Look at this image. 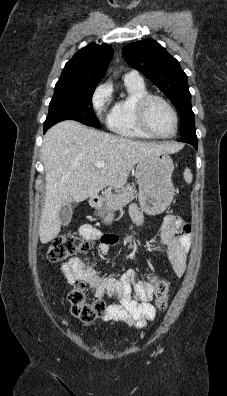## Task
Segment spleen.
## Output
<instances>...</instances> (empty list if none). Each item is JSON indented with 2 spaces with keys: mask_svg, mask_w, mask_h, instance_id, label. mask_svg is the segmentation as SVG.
Masks as SVG:
<instances>
[{
  "mask_svg": "<svg viewBox=\"0 0 227 396\" xmlns=\"http://www.w3.org/2000/svg\"><path fill=\"white\" fill-rule=\"evenodd\" d=\"M183 176H184V180H185L188 184H190V183L192 182V173H191V170H190V169L186 168L185 171H184Z\"/></svg>",
  "mask_w": 227,
  "mask_h": 396,
  "instance_id": "1",
  "label": "spleen"
}]
</instances>
